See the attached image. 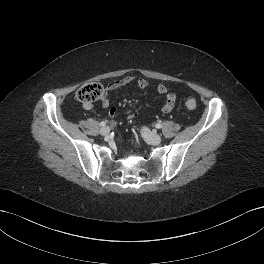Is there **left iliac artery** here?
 I'll return each mask as SVG.
<instances>
[{
	"label": "left iliac artery",
	"mask_w": 264,
	"mask_h": 264,
	"mask_svg": "<svg viewBox=\"0 0 264 264\" xmlns=\"http://www.w3.org/2000/svg\"><path fill=\"white\" fill-rule=\"evenodd\" d=\"M156 128L160 129L162 127V125L160 123H157L156 125Z\"/></svg>",
	"instance_id": "obj_1"
}]
</instances>
